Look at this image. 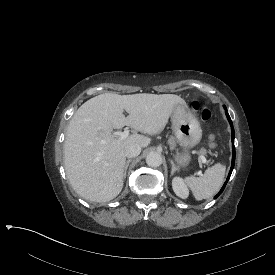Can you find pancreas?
I'll use <instances>...</instances> for the list:
<instances>
[{
  "mask_svg": "<svg viewBox=\"0 0 275 275\" xmlns=\"http://www.w3.org/2000/svg\"><path fill=\"white\" fill-rule=\"evenodd\" d=\"M166 144L170 146V149H175L178 145L176 139L173 136L168 137ZM200 152L204 155H207V152L205 149H201Z\"/></svg>",
  "mask_w": 275,
  "mask_h": 275,
  "instance_id": "1",
  "label": "pancreas"
}]
</instances>
